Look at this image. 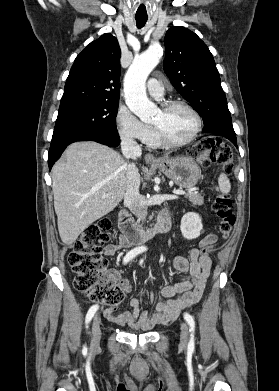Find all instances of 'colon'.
<instances>
[{
  "instance_id": "obj_1",
  "label": "colon",
  "mask_w": 279,
  "mask_h": 391,
  "mask_svg": "<svg viewBox=\"0 0 279 391\" xmlns=\"http://www.w3.org/2000/svg\"><path fill=\"white\" fill-rule=\"evenodd\" d=\"M190 153L203 166L218 164L226 173L232 171V152L221 140L206 138L191 148ZM213 210L219 217V231L227 238L235 224L232 200L227 194H218L213 201ZM111 221L103 218L89 225L79 236L69 254V264L75 273V288L90 301L117 307L124 299V291L116 285L108 273V263L102 257V248L111 235ZM214 245L203 250L208 255Z\"/></svg>"
}]
</instances>
